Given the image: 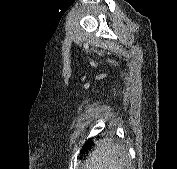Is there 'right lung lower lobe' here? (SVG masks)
Returning a JSON list of instances; mask_svg holds the SVG:
<instances>
[{
    "mask_svg": "<svg viewBox=\"0 0 177 169\" xmlns=\"http://www.w3.org/2000/svg\"><path fill=\"white\" fill-rule=\"evenodd\" d=\"M92 144H93L92 139H88V140L86 141V143L84 144V147L90 146V145H92Z\"/></svg>",
    "mask_w": 177,
    "mask_h": 169,
    "instance_id": "obj_1",
    "label": "right lung lower lobe"
}]
</instances>
